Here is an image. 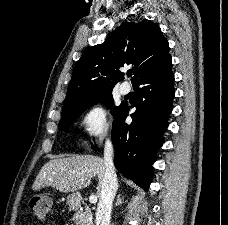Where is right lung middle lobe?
<instances>
[{
  "label": "right lung middle lobe",
  "instance_id": "dd1d6c3e",
  "mask_svg": "<svg viewBox=\"0 0 228 225\" xmlns=\"http://www.w3.org/2000/svg\"><path fill=\"white\" fill-rule=\"evenodd\" d=\"M98 102H103L107 106V108H110L113 105L112 93L111 92L104 93V94L92 97L88 100L63 107L62 117L58 124V128L60 130H67L76 121V119L81 115V113L85 109L89 108L92 104H96ZM122 106L123 104H121L118 107H112L111 112L114 117L120 111Z\"/></svg>",
  "mask_w": 228,
  "mask_h": 225
}]
</instances>
